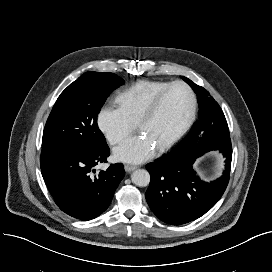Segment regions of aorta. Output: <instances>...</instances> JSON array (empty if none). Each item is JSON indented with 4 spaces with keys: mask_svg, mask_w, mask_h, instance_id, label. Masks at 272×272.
Instances as JSON below:
<instances>
[{
    "mask_svg": "<svg viewBox=\"0 0 272 272\" xmlns=\"http://www.w3.org/2000/svg\"><path fill=\"white\" fill-rule=\"evenodd\" d=\"M131 180L135 185L145 187L150 183V174L147 170L138 169L131 174Z\"/></svg>",
    "mask_w": 272,
    "mask_h": 272,
    "instance_id": "1",
    "label": "aorta"
}]
</instances>
